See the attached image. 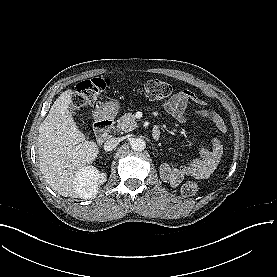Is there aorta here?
I'll use <instances>...</instances> for the list:
<instances>
[{"label": "aorta", "instance_id": "obj_1", "mask_svg": "<svg viewBox=\"0 0 277 277\" xmlns=\"http://www.w3.org/2000/svg\"><path fill=\"white\" fill-rule=\"evenodd\" d=\"M130 145H131L132 150H134V151H142L146 148V142L142 138H134L130 142Z\"/></svg>", "mask_w": 277, "mask_h": 277}]
</instances>
